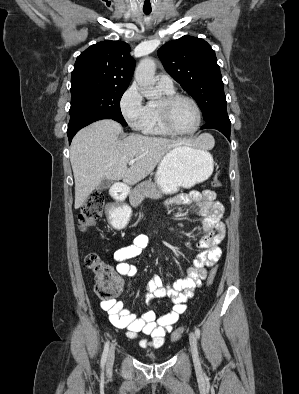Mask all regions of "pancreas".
Returning a JSON list of instances; mask_svg holds the SVG:
<instances>
[{
    "mask_svg": "<svg viewBox=\"0 0 299 394\" xmlns=\"http://www.w3.org/2000/svg\"><path fill=\"white\" fill-rule=\"evenodd\" d=\"M135 196H138L140 201H142L145 197L158 199L162 197V192L157 188L155 183H153L151 180H147L140 183L132 192L131 195L132 205H136L134 203Z\"/></svg>",
    "mask_w": 299,
    "mask_h": 394,
    "instance_id": "pancreas-1",
    "label": "pancreas"
}]
</instances>
